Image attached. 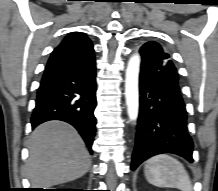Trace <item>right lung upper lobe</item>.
Returning a JSON list of instances; mask_svg holds the SVG:
<instances>
[{
	"label": "right lung upper lobe",
	"mask_w": 218,
	"mask_h": 191,
	"mask_svg": "<svg viewBox=\"0 0 218 191\" xmlns=\"http://www.w3.org/2000/svg\"><path fill=\"white\" fill-rule=\"evenodd\" d=\"M72 34L77 35V36H84L85 37V35L80 33V32H75V33H72Z\"/></svg>",
	"instance_id": "cb5924a9"
}]
</instances>
